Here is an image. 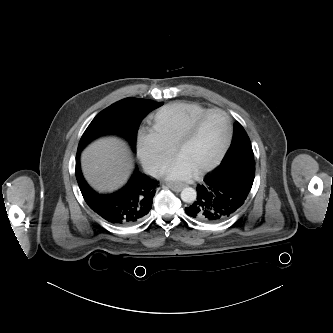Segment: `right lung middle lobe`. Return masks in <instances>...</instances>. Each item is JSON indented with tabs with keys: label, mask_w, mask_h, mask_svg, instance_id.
I'll return each mask as SVG.
<instances>
[{
	"label": "right lung middle lobe",
	"mask_w": 333,
	"mask_h": 333,
	"mask_svg": "<svg viewBox=\"0 0 333 333\" xmlns=\"http://www.w3.org/2000/svg\"><path fill=\"white\" fill-rule=\"evenodd\" d=\"M162 104L138 98H126L112 104L101 111L90 123L81 137L78 151L95 138L105 134H117L124 137L135 151L136 133L141 121L149 112Z\"/></svg>",
	"instance_id": "right-lung-middle-lobe-1"
}]
</instances>
